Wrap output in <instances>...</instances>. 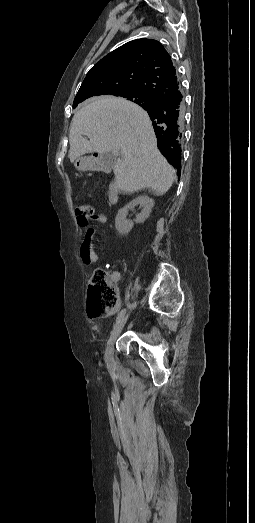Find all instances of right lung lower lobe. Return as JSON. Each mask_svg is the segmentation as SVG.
Masks as SVG:
<instances>
[{
    "label": "right lung lower lobe",
    "instance_id": "right-lung-lower-lobe-1",
    "mask_svg": "<svg viewBox=\"0 0 255 523\" xmlns=\"http://www.w3.org/2000/svg\"><path fill=\"white\" fill-rule=\"evenodd\" d=\"M181 109V104L177 100L165 101L155 106L150 111V116L154 119L156 131L153 134L155 142L164 146V151L168 155H173L180 151L181 143L176 138L180 134V127L177 119V112ZM180 174V168L177 170Z\"/></svg>",
    "mask_w": 255,
    "mask_h": 523
}]
</instances>
